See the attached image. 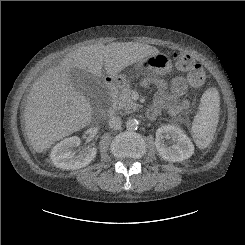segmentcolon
<instances>
[{
	"instance_id": "colon-1",
	"label": "colon",
	"mask_w": 245,
	"mask_h": 245,
	"mask_svg": "<svg viewBox=\"0 0 245 245\" xmlns=\"http://www.w3.org/2000/svg\"><path fill=\"white\" fill-rule=\"evenodd\" d=\"M174 60L179 70L187 72L188 85L193 91L205 83L206 73L202 65L196 63L189 53L175 52Z\"/></svg>"
}]
</instances>
